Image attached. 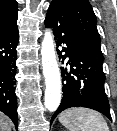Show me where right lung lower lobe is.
I'll return each mask as SVG.
<instances>
[{
	"label": "right lung lower lobe",
	"mask_w": 117,
	"mask_h": 131,
	"mask_svg": "<svg viewBox=\"0 0 117 131\" xmlns=\"http://www.w3.org/2000/svg\"><path fill=\"white\" fill-rule=\"evenodd\" d=\"M18 29L0 38V111L18 127L17 99L15 94L16 47Z\"/></svg>",
	"instance_id": "1"
}]
</instances>
